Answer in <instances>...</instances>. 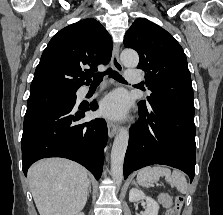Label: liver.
<instances>
[{
	"label": "liver",
	"mask_w": 223,
	"mask_h": 215,
	"mask_svg": "<svg viewBox=\"0 0 223 215\" xmlns=\"http://www.w3.org/2000/svg\"><path fill=\"white\" fill-rule=\"evenodd\" d=\"M29 185L40 215H74L88 195V171L79 163L49 157L28 169Z\"/></svg>",
	"instance_id": "6515ba94"
}]
</instances>
